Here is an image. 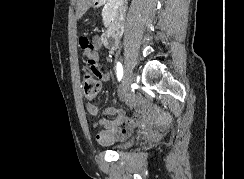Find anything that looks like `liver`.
<instances>
[{
  "label": "liver",
  "instance_id": "6515ba94",
  "mask_svg": "<svg viewBox=\"0 0 244 179\" xmlns=\"http://www.w3.org/2000/svg\"><path fill=\"white\" fill-rule=\"evenodd\" d=\"M96 0H77L76 16L81 18L87 12L89 6H93Z\"/></svg>",
  "mask_w": 244,
  "mask_h": 179
}]
</instances>
